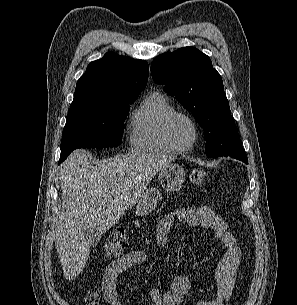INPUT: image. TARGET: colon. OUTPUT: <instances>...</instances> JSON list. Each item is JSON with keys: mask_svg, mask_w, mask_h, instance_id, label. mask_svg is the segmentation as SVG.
Here are the masks:
<instances>
[{"mask_svg": "<svg viewBox=\"0 0 297 305\" xmlns=\"http://www.w3.org/2000/svg\"><path fill=\"white\" fill-rule=\"evenodd\" d=\"M189 178L192 184L200 186L206 183L207 174L202 169H194L190 173ZM127 245L126 231L123 228L113 229L109 233L104 246V255L106 259L113 260L120 258L123 251L127 248Z\"/></svg>", "mask_w": 297, "mask_h": 305, "instance_id": "colon-1", "label": "colon"}]
</instances>
